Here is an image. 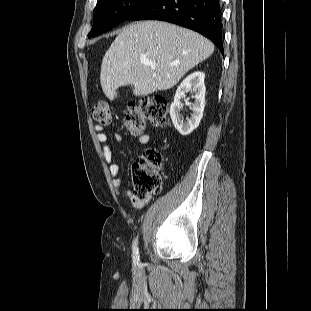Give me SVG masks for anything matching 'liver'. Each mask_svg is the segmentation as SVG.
<instances>
[{
	"instance_id": "1",
	"label": "liver",
	"mask_w": 311,
	"mask_h": 311,
	"mask_svg": "<svg viewBox=\"0 0 311 311\" xmlns=\"http://www.w3.org/2000/svg\"><path fill=\"white\" fill-rule=\"evenodd\" d=\"M214 51L202 35L161 21L133 23L122 29L106 51L100 83L106 97L114 100L121 86H134L135 96L174 87L194 66ZM146 58L155 69L144 65Z\"/></svg>"
}]
</instances>
